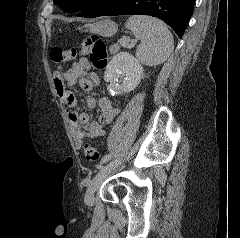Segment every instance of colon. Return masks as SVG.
Returning <instances> with one entry per match:
<instances>
[{"mask_svg":"<svg viewBox=\"0 0 240 238\" xmlns=\"http://www.w3.org/2000/svg\"><path fill=\"white\" fill-rule=\"evenodd\" d=\"M79 55H87L94 68L101 70L107 64V48L105 43L97 37H89L83 40L79 49L72 48L62 50L55 47L50 51V58L54 63L60 64L71 61ZM85 157L90 161H97L100 158L99 152L90 144L84 147Z\"/></svg>","mask_w":240,"mask_h":238,"instance_id":"obj_1","label":"colon"}]
</instances>
